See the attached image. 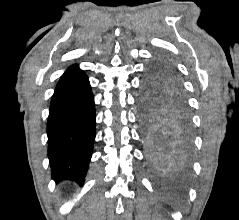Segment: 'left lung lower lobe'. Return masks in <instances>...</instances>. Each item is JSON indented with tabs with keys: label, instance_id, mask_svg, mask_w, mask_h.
Masks as SVG:
<instances>
[{
	"label": "left lung lower lobe",
	"instance_id": "left-lung-lower-lobe-1",
	"mask_svg": "<svg viewBox=\"0 0 239 220\" xmlns=\"http://www.w3.org/2000/svg\"><path fill=\"white\" fill-rule=\"evenodd\" d=\"M191 142L188 112L174 111L154 130H147L150 159L159 165L183 163Z\"/></svg>",
	"mask_w": 239,
	"mask_h": 220
}]
</instances>
